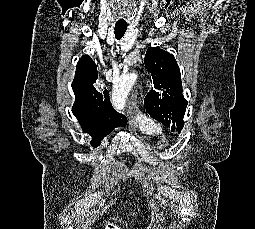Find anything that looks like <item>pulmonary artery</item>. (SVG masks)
Instances as JSON below:
<instances>
[{
	"mask_svg": "<svg viewBox=\"0 0 255 229\" xmlns=\"http://www.w3.org/2000/svg\"><path fill=\"white\" fill-rule=\"evenodd\" d=\"M136 119L143 125L145 126H150L149 122H150V119H148L146 116H144L143 114L141 113H137L136 115Z\"/></svg>",
	"mask_w": 255,
	"mask_h": 229,
	"instance_id": "obj_1",
	"label": "pulmonary artery"
}]
</instances>
